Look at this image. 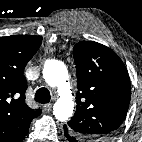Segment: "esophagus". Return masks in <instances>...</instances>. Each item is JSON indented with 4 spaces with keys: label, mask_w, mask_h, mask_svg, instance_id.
Masks as SVG:
<instances>
[{
    "label": "esophagus",
    "mask_w": 142,
    "mask_h": 142,
    "mask_svg": "<svg viewBox=\"0 0 142 142\" xmlns=\"http://www.w3.org/2000/svg\"><path fill=\"white\" fill-rule=\"evenodd\" d=\"M52 107H53V104L49 103V104H45L43 106V109H44V111L49 112L52 109Z\"/></svg>",
    "instance_id": "obj_1"
}]
</instances>
